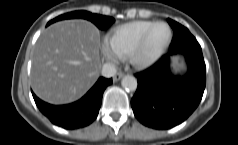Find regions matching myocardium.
<instances>
[{
  "mask_svg": "<svg viewBox=\"0 0 238 145\" xmlns=\"http://www.w3.org/2000/svg\"><path fill=\"white\" fill-rule=\"evenodd\" d=\"M158 26H164L167 29V37L163 44L151 53H147V45L153 30ZM172 32L170 26L165 22H154L142 35L135 47L129 52L127 59L129 63L138 69H145L155 64L170 44Z\"/></svg>",
  "mask_w": 238,
  "mask_h": 145,
  "instance_id": "1",
  "label": "myocardium"
}]
</instances>
